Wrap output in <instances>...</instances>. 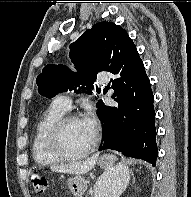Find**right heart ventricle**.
Returning <instances> with one entry per match:
<instances>
[{"instance_id": "1", "label": "right heart ventricle", "mask_w": 191, "mask_h": 197, "mask_svg": "<svg viewBox=\"0 0 191 197\" xmlns=\"http://www.w3.org/2000/svg\"><path fill=\"white\" fill-rule=\"evenodd\" d=\"M65 111L52 103L42 114L35 128L32 141V154L35 162L40 166H51L60 162L53 156L46 146V134L51 125L63 116Z\"/></svg>"}]
</instances>
